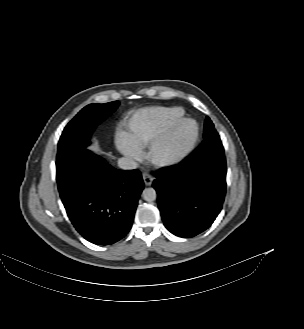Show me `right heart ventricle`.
Instances as JSON below:
<instances>
[{
  "label": "right heart ventricle",
  "mask_w": 304,
  "mask_h": 329,
  "mask_svg": "<svg viewBox=\"0 0 304 329\" xmlns=\"http://www.w3.org/2000/svg\"><path fill=\"white\" fill-rule=\"evenodd\" d=\"M180 107L151 108L136 113L129 122L131 137L140 148L151 145L183 118Z\"/></svg>",
  "instance_id": "e07e8e85"
}]
</instances>
